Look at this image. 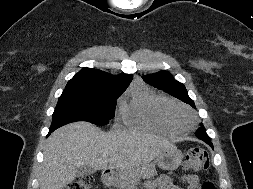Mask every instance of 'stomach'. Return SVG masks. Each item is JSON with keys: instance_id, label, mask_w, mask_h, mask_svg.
<instances>
[{"instance_id": "0dacf381", "label": "stomach", "mask_w": 253, "mask_h": 189, "mask_svg": "<svg viewBox=\"0 0 253 189\" xmlns=\"http://www.w3.org/2000/svg\"><path fill=\"white\" fill-rule=\"evenodd\" d=\"M182 159V152L174 147L158 155L155 162L163 170H175L181 164Z\"/></svg>"}]
</instances>
